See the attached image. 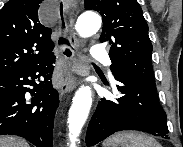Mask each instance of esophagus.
<instances>
[{
	"mask_svg": "<svg viewBox=\"0 0 183 147\" xmlns=\"http://www.w3.org/2000/svg\"><path fill=\"white\" fill-rule=\"evenodd\" d=\"M63 6L65 16H67L70 11V1L63 0ZM67 37L70 45L75 48L76 39L73 33L72 22H69L67 25ZM73 48L64 45L61 49L62 56L67 65V69L64 82L59 90L60 98H63L67 93L71 92L75 88L77 76L82 73V70L80 69L82 63L79 61L78 54Z\"/></svg>",
	"mask_w": 183,
	"mask_h": 147,
	"instance_id": "obj_1",
	"label": "esophagus"
}]
</instances>
